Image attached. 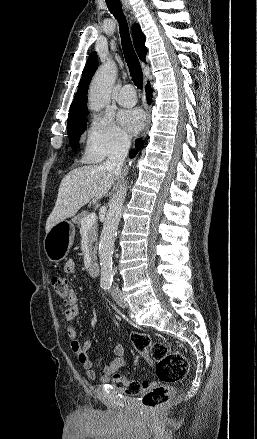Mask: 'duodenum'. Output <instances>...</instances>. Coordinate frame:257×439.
<instances>
[{
	"instance_id": "obj_1",
	"label": "duodenum",
	"mask_w": 257,
	"mask_h": 439,
	"mask_svg": "<svg viewBox=\"0 0 257 439\" xmlns=\"http://www.w3.org/2000/svg\"><path fill=\"white\" fill-rule=\"evenodd\" d=\"M89 274L93 277H96L100 274V266L95 258H92L89 263Z\"/></svg>"
}]
</instances>
